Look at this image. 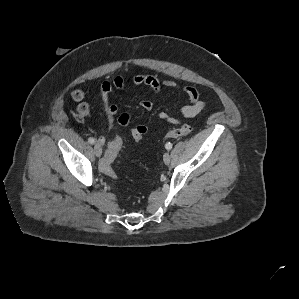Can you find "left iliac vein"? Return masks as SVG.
<instances>
[{"label":"left iliac vein","mask_w":299,"mask_h":299,"mask_svg":"<svg viewBox=\"0 0 299 299\" xmlns=\"http://www.w3.org/2000/svg\"><path fill=\"white\" fill-rule=\"evenodd\" d=\"M163 161L166 165H168L171 161V157L169 155V153H165L164 156H163Z\"/></svg>","instance_id":"1"}]
</instances>
